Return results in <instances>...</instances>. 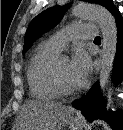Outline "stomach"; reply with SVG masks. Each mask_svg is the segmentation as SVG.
<instances>
[{
    "label": "stomach",
    "instance_id": "1",
    "mask_svg": "<svg viewBox=\"0 0 123 130\" xmlns=\"http://www.w3.org/2000/svg\"><path fill=\"white\" fill-rule=\"evenodd\" d=\"M69 127L71 130H82L83 125L82 122H80L79 120H75L72 118L69 122Z\"/></svg>",
    "mask_w": 123,
    "mask_h": 130
}]
</instances>
